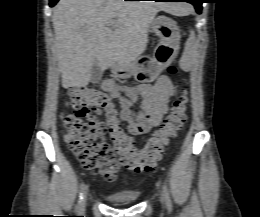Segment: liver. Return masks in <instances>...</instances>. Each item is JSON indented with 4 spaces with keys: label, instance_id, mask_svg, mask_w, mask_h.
<instances>
[{
    "label": "liver",
    "instance_id": "1",
    "mask_svg": "<svg viewBox=\"0 0 260 217\" xmlns=\"http://www.w3.org/2000/svg\"><path fill=\"white\" fill-rule=\"evenodd\" d=\"M159 11L182 16L187 9L166 2L60 0L52 22L63 88L87 86L94 62L104 71L116 61L121 66L136 61L146 50L149 26Z\"/></svg>",
    "mask_w": 260,
    "mask_h": 217
}]
</instances>
